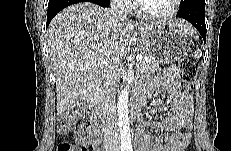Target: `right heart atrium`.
Instances as JSON below:
<instances>
[{
	"mask_svg": "<svg viewBox=\"0 0 231 151\" xmlns=\"http://www.w3.org/2000/svg\"><path fill=\"white\" fill-rule=\"evenodd\" d=\"M113 4L121 11H128L130 8V1L128 0H114Z\"/></svg>",
	"mask_w": 231,
	"mask_h": 151,
	"instance_id": "1",
	"label": "right heart atrium"
}]
</instances>
